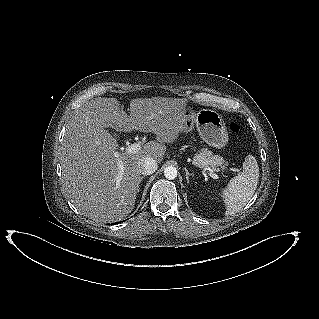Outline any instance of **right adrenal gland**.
<instances>
[{
	"label": "right adrenal gland",
	"instance_id": "2a0ac1e0",
	"mask_svg": "<svg viewBox=\"0 0 319 319\" xmlns=\"http://www.w3.org/2000/svg\"><path fill=\"white\" fill-rule=\"evenodd\" d=\"M144 177H142V179H143ZM137 192H139V186H138V188H137Z\"/></svg>",
	"mask_w": 319,
	"mask_h": 319
}]
</instances>
